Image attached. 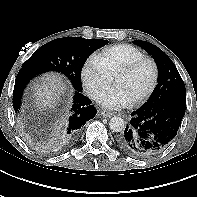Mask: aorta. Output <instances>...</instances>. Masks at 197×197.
<instances>
[{
	"label": "aorta",
	"mask_w": 197,
	"mask_h": 197,
	"mask_svg": "<svg viewBox=\"0 0 197 197\" xmlns=\"http://www.w3.org/2000/svg\"><path fill=\"white\" fill-rule=\"evenodd\" d=\"M109 126L113 132H121L125 128V122L121 117L114 116L110 119Z\"/></svg>",
	"instance_id": "aorta-1"
}]
</instances>
